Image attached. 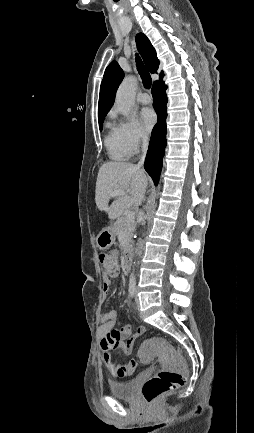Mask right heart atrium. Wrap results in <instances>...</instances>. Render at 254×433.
I'll use <instances>...</instances> for the list:
<instances>
[{"instance_id": "d8ad5b80", "label": "right heart atrium", "mask_w": 254, "mask_h": 433, "mask_svg": "<svg viewBox=\"0 0 254 433\" xmlns=\"http://www.w3.org/2000/svg\"><path fill=\"white\" fill-rule=\"evenodd\" d=\"M123 146L129 155L140 151L148 140V136L134 117H129L117 125Z\"/></svg>"}]
</instances>
